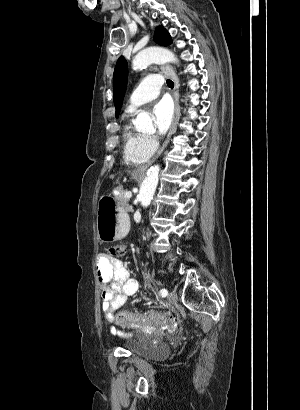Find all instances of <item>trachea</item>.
I'll return each instance as SVG.
<instances>
[{
    "label": "trachea",
    "mask_w": 300,
    "mask_h": 410,
    "mask_svg": "<svg viewBox=\"0 0 300 410\" xmlns=\"http://www.w3.org/2000/svg\"><path fill=\"white\" fill-rule=\"evenodd\" d=\"M167 86L170 87V88H173L174 87V82L172 80L168 79L167 80Z\"/></svg>",
    "instance_id": "1"
}]
</instances>
